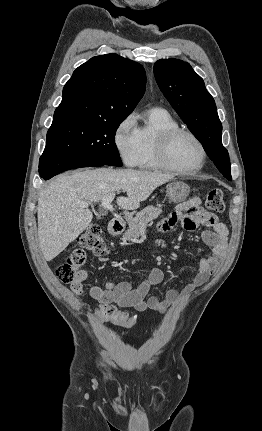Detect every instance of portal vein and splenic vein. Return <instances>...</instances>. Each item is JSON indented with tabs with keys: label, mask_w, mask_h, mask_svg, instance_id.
Here are the masks:
<instances>
[{
	"label": "portal vein and splenic vein",
	"mask_w": 262,
	"mask_h": 431,
	"mask_svg": "<svg viewBox=\"0 0 262 431\" xmlns=\"http://www.w3.org/2000/svg\"><path fill=\"white\" fill-rule=\"evenodd\" d=\"M114 198H115V193L109 194L108 196L104 197L101 201V206L106 210L113 211L114 208L111 203ZM89 204L90 203H87V202H81V206L83 207H88Z\"/></svg>",
	"instance_id": "1"
}]
</instances>
